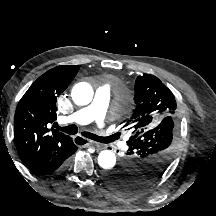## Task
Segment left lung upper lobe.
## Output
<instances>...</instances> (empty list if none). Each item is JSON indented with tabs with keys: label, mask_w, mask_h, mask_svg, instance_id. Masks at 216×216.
<instances>
[{
	"label": "left lung upper lobe",
	"mask_w": 216,
	"mask_h": 216,
	"mask_svg": "<svg viewBox=\"0 0 216 216\" xmlns=\"http://www.w3.org/2000/svg\"><path fill=\"white\" fill-rule=\"evenodd\" d=\"M134 90L126 156L105 174L106 184L125 194L143 190L159 179L177 143L178 112L173 93L150 74L138 76Z\"/></svg>",
	"instance_id": "left-lung-upper-lobe-1"
}]
</instances>
